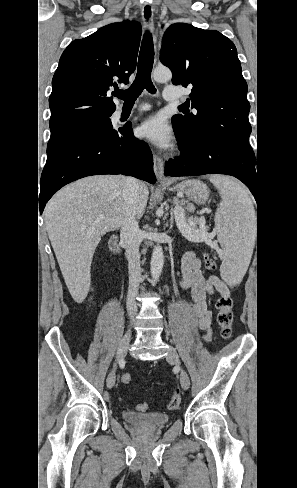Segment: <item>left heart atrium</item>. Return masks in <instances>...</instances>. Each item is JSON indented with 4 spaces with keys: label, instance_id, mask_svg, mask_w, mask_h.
I'll list each match as a JSON object with an SVG mask.
<instances>
[{
    "label": "left heart atrium",
    "instance_id": "left-heart-atrium-1",
    "mask_svg": "<svg viewBox=\"0 0 297 488\" xmlns=\"http://www.w3.org/2000/svg\"><path fill=\"white\" fill-rule=\"evenodd\" d=\"M139 134L161 148H168L172 144V130L160 115L152 116L144 121L139 128Z\"/></svg>",
    "mask_w": 297,
    "mask_h": 488
}]
</instances>
